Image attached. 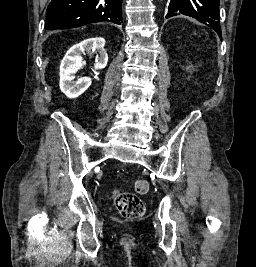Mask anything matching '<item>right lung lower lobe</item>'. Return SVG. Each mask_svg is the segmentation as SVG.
Instances as JSON below:
<instances>
[{
    "mask_svg": "<svg viewBox=\"0 0 256 267\" xmlns=\"http://www.w3.org/2000/svg\"><path fill=\"white\" fill-rule=\"evenodd\" d=\"M122 0H52L46 30L70 29L95 22H122Z\"/></svg>",
    "mask_w": 256,
    "mask_h": 267,
    "instance_id": "98d812e1",
    "label": "right lung lower lobe"
}]
</instances>
